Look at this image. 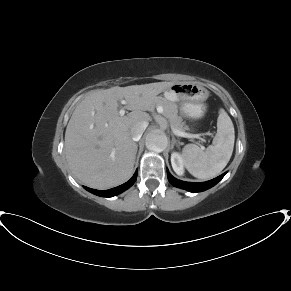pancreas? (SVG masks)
I'll return each instance as SVG.
<instances>
[{
	"instance_id": "cf45deb5",
	"label": "pancreas",
	"mask_w": 291,
	"mask_h": 291,
	"mask_svg": "<svg viewBox=\"0 0 291 291\" xmlns=\"http://www.w3.org/2000/svg\"><path fill=\"white\" fill-rule=\"evenodd\" d=\"M161 106L163 108V116L169 121L172 128L184 132L186 127L182 119L178 116V107L175 103L163 97H156L151 107ZM150 107V108H151Z\"/></svg>"
}]
</instances>
